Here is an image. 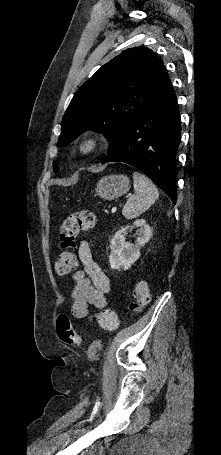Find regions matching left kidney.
Wrapping results in <instances>:
<instances>
[{
	"instance_id": "obj_1",
	"label": "left kidney",
	"mask_w": 221,
	"mask_h": 455,
	"mask_svg": "<svg viewBox=\"0 0 221 455\" xmlns=\"http://www.w3.org/2000/svg\"><path fill=\"white\" fill-rule=\"evenodd\" d=\"M137 228L138 237L134 244L125 241L128 232ZM151 237V228L144 219L136 220L133 225L122 227L110 241L111 253L109 262L112 269L127 270L140 257V248L143 247Z\"/></svg>"
}]
</instances>
